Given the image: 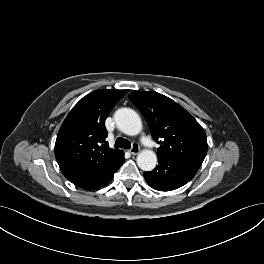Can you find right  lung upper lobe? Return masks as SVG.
<instances>
[{"label": "right lung upper lobe", "instance_id": "right-lung-upper-lobe-1", "mask_svg": "<svg viewBox=\"0 0 264 264\" xmlns=\"http://www.w3.org/2000/svg\"><path fill=\"white\" fill-rule=\"evenodd\" d=\"M124 96L120 90H96L83 97L64 120L55 156L64 176L74 183L101 169L123 151L105 141V119Z\"/></svg>", "mask_w": 264, "mask_h": 264}]
</instances>
